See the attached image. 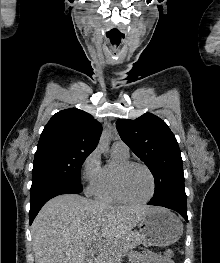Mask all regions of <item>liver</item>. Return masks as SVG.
I'll list each match as a JSON object with an SVG mask.
<instances>
[{
  "mask_svg": "<svg viewBox=\"0 0 220 263\" xmlns=\"http://www.w3.org/2000/svg\"><path fill=\"white\" fill-rule=\"evenodd\" d=\"M153 209L111 206L76 194L59 195L41 208L32 224L35 263H86L87 248L94 238L98 240V263H114L119 245Z\"/></svg>",
  "mask_w": 220,
  "mask_h": 263,
  "instance_id": "6515ba94",
  "label": "liver"
}]
</instances>
